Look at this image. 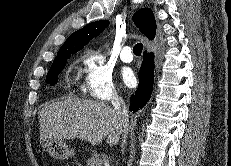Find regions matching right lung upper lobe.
I'll return each instance as SVG.
<instances>
[{
  "instance_id": "obj_1",
  "label": "right lung upper lobe",
  "mask_w": 231,
  "mask_h": 166,
  "mask_svg": "<svg viewBox=\"0 0 231 166\" xmlns=\"http://www.w3.org/2000/svg\"><path fill=\"white\" fill-rule=\"evenodd\" d=\"M133 20L147 38L150 40L155 38L156 21L153 12L149 8L138 10L134 14ZM108 26L109 21L106 20L89 23L68 37L59 49L57 56L75 54L81 50L84 45L88 44L91 39L103 32Z\"/></svg>"
}]
</instances>
